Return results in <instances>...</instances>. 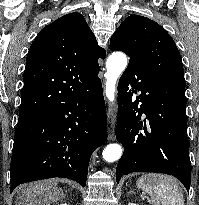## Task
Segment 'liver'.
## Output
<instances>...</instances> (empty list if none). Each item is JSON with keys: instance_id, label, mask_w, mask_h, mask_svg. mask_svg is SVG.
<instances>
[{"instance_id": "liver-1", "label": "liver", "mask_w": 199, "mask_h": 205, "mask_svg": "<svg viewBox=\"0 0 199 205\" xmlns=\"http://www.w3.org/2000/svg\"><path fill=\"white\" fill-rule=\"evenodd\" d=\"M64 196L63 192L57 189V183L54 180L37 182L27 190L19 193V205H42L41 199L45 197L47 203L56 201ZM40 198V199H38Z\"/></svg>"}]
</instances>
